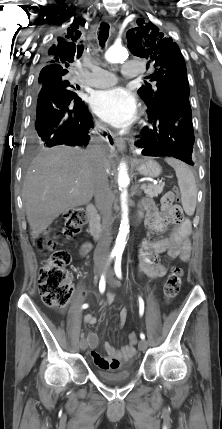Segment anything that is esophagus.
I'll return each mask as SVG.
<instances>
[{
  "instance_id": "1",
  "label": "esophagus",
  "mask_w": 222,
  "mask_h": 429,
  "mask_svg": "<svg viewBox=\"0 0 222 429\" xmlns=\"http://www.w3.org/2000/svg\"><path fill=\"white\" fill-rule=\"evenodd\" d=\"M108 20H109L108 16L103 17V21H108ZM113 141L119 151L123 152L126 150V144L121 138L114 136Z\"/></svg>"
}]
</instances>
